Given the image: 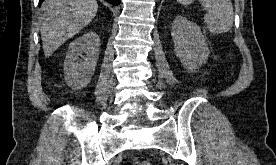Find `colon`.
I'll return each mask as SVG.
<instances>
[{
  "mask_svg": "<svg viewBox=\"0 0 276 165\" xmlns=\"http://www.w3.org/2000/svg\"><path fill=\"white\" fill-rule=\"evenodd\" d=\"M135 165H151V163L148 161H139V162H136Z\"/></svg>",
  "mask_w": 276,
  "mask_h": 165,
  "instance_id": "5ec220e1",
  "label": "colon"
}]
</instances>
